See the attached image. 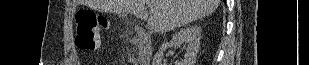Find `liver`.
<instances>
[{
	"mask_svg": "<svg viewBox=\"0 0 309 65\" xmlns=\"http://www.w3.org/2000/svg\"><path fill=\"white\" fill-rule=\"evenodd\" d=\"M85 5L102 12L131 13L147 21L151 30L166 33L211 14L220 0H85ZM150 11H147L146 5Z\"/></svg>",
	"mask_w": 309,
	"mask_h": 65,
	"instance_id": "obj_1",
	"label": "liver"
}]
</instances>
